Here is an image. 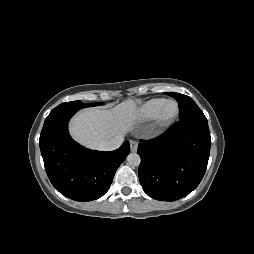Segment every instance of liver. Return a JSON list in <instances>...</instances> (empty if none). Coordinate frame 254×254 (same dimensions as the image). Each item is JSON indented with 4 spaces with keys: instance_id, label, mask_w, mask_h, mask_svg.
<instances>
[{
    "instance_id": "liver-1",
    "label": "liver",
    "mask_w": 254,
    "mask_h": 254,
    "mask_svg": "<svg viewBox=\"0 0 254 254\" xmlns=\"http://www.w3.org/2000/svg\"><path fill=\"white\" fill-rule=\"evenodd\" d=\"M137 115V103L132 99L123 101L111 109H85L72 119L70 133L80 144L98 149L101 142L129 132Z\"/></svg>"
}]
</instances>
